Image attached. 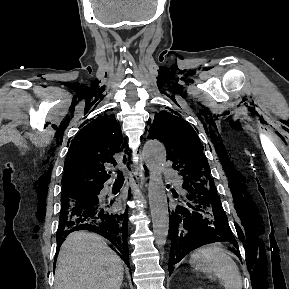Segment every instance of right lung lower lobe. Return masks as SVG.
<instances>
[{"mask_svg": "<svg viewBox=\"0 0 289 289\" xmlns=\"http://www.w3.org/2000/svg\"><path fill=\"white\" fill-rule=\"evenodd\" d=\"M101 189L97 190V195ZM112 203L106 204L97 197L93 202L60 220L56 236L57 250L59 251L65 237L71 232L89 230L107 238L114 245L113 250L130 267L127 244V210L124 214H119L113 210Z\"/></svg>", "mask_w": 289, "mask_h": 289, "instance_id": "98d812e1", "label": "right lung lower lobe"}]
</instances>
